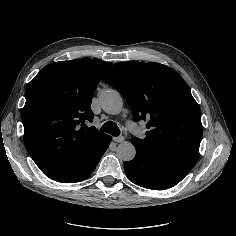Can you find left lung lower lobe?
Masks as SVG:
<instances>
[{
    "instance_id": "left-lung-lower-lobe-1",
    "label": "left lung lower lobe",
    "mask_w": 236,
    "mask_h": 236,
    "mask_svg": "<svg viewBox=\"0 0 236 236\" xmlns=\"http://www.w3.org/2000/svg\"><path fill=\"white\" fill-rule=\"evenodd\" d=\"M133 145L136 148V155L133 160L124 163V169L129 179L136 185L163 190L175 186L187 174L171 162Z\"/></svg>"
}]
</instances>
